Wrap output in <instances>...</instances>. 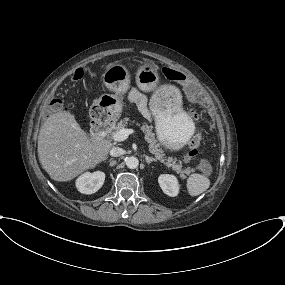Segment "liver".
<instances>
[{
    "instance_id": "6515ba94",
    "label": "liver",
    "mask_w": 285,
    "mask_h": 285,
    "mask_svg": "<svg viewBox=\"0 0 285 285\" xmlns=\"http://www.w3.org/2000/svg\"><path fill=\"white\" fill-rule=\"evenodd\" d=\"M111 146L108 141H91L73 114L59 111L40 129L38 157L51 179L66 182L106 160Z\"/></svg>"
}]
</instances>
